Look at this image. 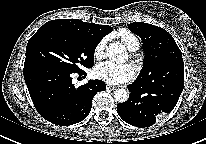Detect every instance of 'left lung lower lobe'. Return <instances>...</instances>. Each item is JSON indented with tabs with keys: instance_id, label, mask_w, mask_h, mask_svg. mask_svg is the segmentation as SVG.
I'll list each match as a JSON object with an SVG mask.
<instances>
[{
	"instance_id": "1",
	"label": "left lung lower lobe",
	"mask_w": 206,
	"mask_h": 144,
	"mask_svg": "<svg viewBox=\"0 0 206 144\" xmlns=\"http://www.w3.org/2000/svg\"><path fill=\"white\" fill-rule=\"evenodd\" d=\"M129 99L117 105L119 116L136 127H149L158 115L170 113L184 87V76L154 86H142L136 82L128 85Z\"/></svg>"
}]
</instances>
